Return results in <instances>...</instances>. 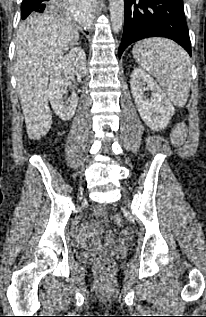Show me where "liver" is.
Returning a JSON list of instances; mask_svg holds the SVG:
<instances>
[{
    "label": "liver",
    "mask_w": 206,
    "mask_h": 317,
    "mask_svg": "<svg viewBox=\"0 0 206 317\" xmlns=\"http://www.w3.org/2000/svg\"><path fill=\"white\" fill-rule=\"evenodd\" d=\"M79 39L69 17L38 14L22 23L16 36L17 93L30 139H40L51 128L48 104L49 75L57 60Z\"/></svg>",
    "instance_id": "liver-1"
}]
</instances>
